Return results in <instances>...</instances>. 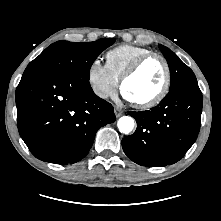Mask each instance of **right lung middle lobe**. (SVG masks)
Instances as JSON below:
<instances>
[{"instance_id": "dd1d6c3e", "label": "right lung middle lobe", "mask_w": 221, "mask_h": 221, "mask_svg": "<svg viewBox=\"0 0 221 221\" xmlns=\"http://www.w3.org/2000/svg\"><path fill=\"white\" fill-rule=\"evenodd\" d=\"M115 39H99L94 42L73 43L58 41L47 47L38 57L31 61L25 71L31 69H49L72 73L89 80L90 68Z\"/></svg>"}]
</instances>
